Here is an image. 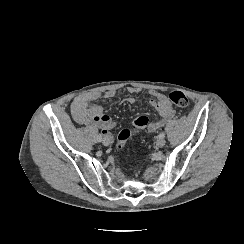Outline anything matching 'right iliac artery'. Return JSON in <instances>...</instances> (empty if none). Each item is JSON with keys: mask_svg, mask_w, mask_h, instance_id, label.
Segmentation results:
<instances>
[{"mask_svg": "<svg viewBox=\"0 0 244 244\" xmlns=\"http://www.w3.org/2000/svg\"><path fill=\"white\" fill-rule=\"evenodd\" d=\"M97 140H98V142H101V141H102V134H99V135L97 136Z\"/></svg>", "mask_w": 244, "mask_h": 244, "instance_id": "right-iliac-artery-1", "label": "right iliac artery"}]
</instances>
